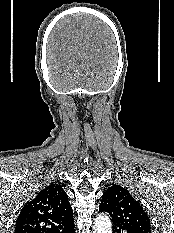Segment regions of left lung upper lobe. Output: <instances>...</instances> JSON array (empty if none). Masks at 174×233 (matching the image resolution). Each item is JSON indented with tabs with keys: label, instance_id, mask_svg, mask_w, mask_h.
I'll return each instance as SVG.
<instances>
[{
	"label": "left lung upper lobe",
	"instance_id": "left-lung-upper-lobe-1",
	"mask_svg": "<svg viewBox=\"0 0 174 233\" xmlns=\"http://www.w3.org/2000/svg\"><path fill=\"white\" fill-rule=\"evenodd\" d=\"M99 210L108 212L115 225L135 233H151V223L140 203L129 191L112 185L103 195Z\"/></svg>",
	"mask_w": 174,
	"mask_h": 233
}]
</instances>
